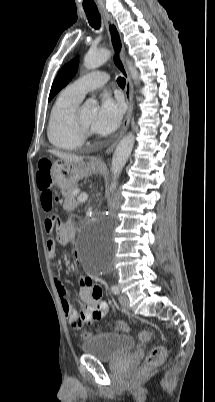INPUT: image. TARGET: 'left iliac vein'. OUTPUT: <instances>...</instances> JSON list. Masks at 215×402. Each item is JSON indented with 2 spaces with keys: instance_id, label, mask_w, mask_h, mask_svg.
<instances>
[{
  "instance_id": "4c4485c4",
  "label": "left iliac vein",
  "mask_w": 215,
  "mask_h": 402,
  "mask_svg": "<svg viewBox=\"0 0 215 402\" xmlns=\"http://www.w3.org/2000/svg\"><path fill=\"white\" fill-rule=\"evenodd\" d=\"M118 299H119L120 305H121L123 308H125V309H128V308H129V299H128V297H127L126 295L120 294L119 297H118Z\"/></svg>"
}]
</instances>
